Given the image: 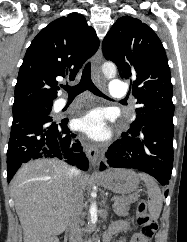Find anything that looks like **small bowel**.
I'll use <instances>...</instances> for the list:
<instances>
[{"instance_id": "small-bowel-1", "label": "small bowel", "mask_w": 187, "mask_h": 242, "mask_svg": "<svg viewBox=\"0 0 187 242\" xmlns=\"http://www.w3.org/2000/svg\"><path fill=\"white\" fill-rule=\"evenodd\" d=\"M128 229H129V225L126 222H118L111 227L110 232L108 233L107 236H110L113 233L123 231V230H128ZM130 242H138V235L135 236Z\"/></svg>"}]
</instances>
